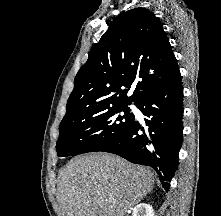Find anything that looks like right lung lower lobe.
<instances>
[{
	"label": "right lung lower lobe",
	"mask_w": 221,
	"mask_h": 216,
	"mask_svg": "<svg viewBox=\"0 0 221 216\" xmlns=\"http://www.w3.org/2000/svg\"><path fill=\"white\" fill-rule=\"evenodd\" d=\"M182 101L183 87L177 70L136 104L148 117L145 118L148 128L144 129L134 119L115 141L100 151L152 167L168 191L178 166L183 140Z\"/></svg>",
	"instance_id": "98d812e1"
}]
</instances>
